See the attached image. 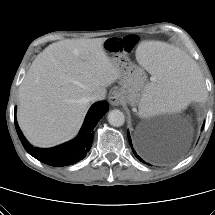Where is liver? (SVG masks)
Listing matches in <instances>:
<instances>
[{"label": "liver", "instance_id": "1", "mask_svg": "<svg viewBox=\"0 0 215 215\" xmlns=\"http://www.w3.org/2000/svg\"><path fill=\"white\" fill-rule=\"evenodd\" d=\"M105 40L59 41L32 62L19 88L17 110L18 124L30 143L52 147L72 138L90 108V97L106 93L119 79L118 67L103 49Z\"/></svg>", "mask_w": 215, "mask_h": 215}]
</instances>
